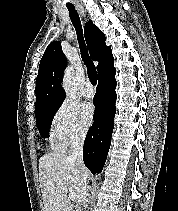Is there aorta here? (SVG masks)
Instances as JSON below:
<instances>
[{"label": "aorta", "instance_id": "1", "mask_svg": "<svg viewBox=\"0 0 178 211\" xmlns=\"http://www.w3.org/2000/svg\"><path fill=\"white\" fill-rule=\"evenodd\" d=\"M73 77H74L73 69L71 67H68L65 70L62 83V87L68 97H72L74 95Z\"/></svg>", "mask_w": 178, "mask_h": 211}]
</instances>
